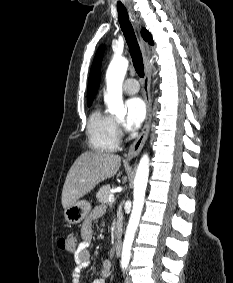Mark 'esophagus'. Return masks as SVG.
<instances>
[{"mask_svg": "<svg viewBox=\"0 0 233 283\" xmlns=\"http://www.w3.org/2000/svg\"><path fill=\"white\" fill-rule=\"evenodd\" d=\"M133 22L137 27H139V21L136 17H133ZM140 45L142 49L144 65H145V77L143 81V93H144V100L146 103L147 113L145 124L139 136L136 140L132 143L129 148V151L126 155V160L130 161L136 156L139 155L140 151L142 150L150 131L151 121H152V105H151V93H150V84H151V67H152V60L150 59V51L148 44L140 38Z\"/></svg>", "mask_w": 233, "mask_h": 283, "instance_id": "1", "label": "esophagus"}]
</instances>
